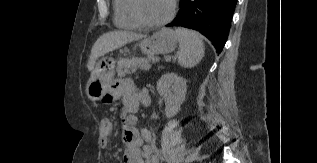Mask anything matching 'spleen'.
Segmentation results:
<instances>
[{"label": "spleen", "instance_id": "spleen-1", "mask_svg": "<svg viewBox=\"0 0 317 163\" xmlns=\"http://www.w3.org/2000/svg\"><path fill=\"white\" fill-rule=\"evenodd\" d=\"M175 32L179 41L178 63L185 68L194 67L205 54L201 36L197 32L185 28H177Z\"/></svg>", "mask_w": 317, "mask_h": 163}]
</instances>
